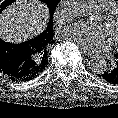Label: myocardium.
Returning <instances> with one entry per match:
<instances>
[{
  "label": "myocardium",
  "instance_id": "1",
  "mask_svg": "<svg viewBox=\"0 0 118 118\" xmlns=\"http://www.w3.org/2000/svg\"><path fill=\"white\" fill-rule=\"evenodd\" d=\"M101 18L106 24L113 23L118 18V4L101 13ZM118 46V38L113 41Z\"/></svg>",
  "mask_w": 118,
  "mask_h": 118
}]
</instances>
